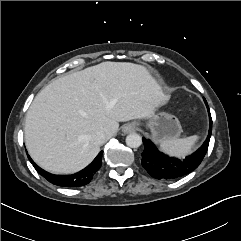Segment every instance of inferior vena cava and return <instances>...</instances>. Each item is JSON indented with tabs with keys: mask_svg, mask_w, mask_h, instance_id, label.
I'll use <instances>...</instances> for the list:
<instances>
[{
	"mask_svg": "<svg viewBox=\"0 0 241 241\" xmlns=\"http://www.w3.org/2000/svg\"><path fill=\"white\" fill-rule=\"evenodd\" d=\"M90 140L94 145H102L105 140L106 136L103 131H96L95 133L91 134Z\"/></svg>",
	"mask_w": 241,
	"mask_h": 241,
	"instance_id": "602c4592",
	"label": "inferior vena cava"
}]
</instances>
